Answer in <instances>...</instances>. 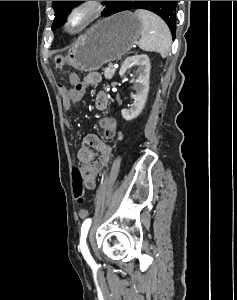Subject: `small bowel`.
I'll list each match as a JSON object with an SVG mask.
<instances>
[{"label":"small bowel","instance_id":"obj_1","mask_svg":"<svg viewBox=\"0 0 237 300\" xmlns=\"http://www.w3.org/2000/svg\"><path fill=\"white\" fill-rule=\"evenodd\" d=\"M102 80V77L97 72L88 73L83 82H80L76 74L70 75V82L73 85L82 83L85 87L90 85H97ZM61 96L63 100V107L69 111L72 107L81 100L82 96H78L73 89H62ZM95 107L105 113L109 112V100L104 92L97 93L95 97ZM67 128L72 127L71 121H66ZM99 126L103 131V137L100 138L96 134H87L79 148L77 149L76 156L79 161L78 169L84 175L85 187L93 190L96 187L97 178L104 168L109 164L112 157V147L110 142L113 140L121 141L123 133L120 130L117 121L107 115L99 119ZM99 152V155H97ZM88 211L85 208L79 210V217L85 218Z\"/></svg>","mask_w":237,"mask_h":300}]
</instances>
